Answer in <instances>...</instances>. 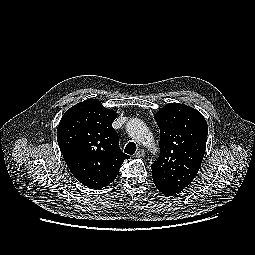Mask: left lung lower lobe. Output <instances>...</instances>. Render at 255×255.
<instances>
[{"mask_svg":"<svg viewBox=\"0 0 255 255\" xmlns=\"http://www.w3.org/2000/svg\"><path fill=\"white\" fill-rule=\"evenodd\" d=\"M153 181H154L155 186L158 188V190H159L160 192H162L163 194H165V195H174V194L177 193V192L174 191L173 189L168 188V187L162 185L161 183H159V182H157V181H155V180H153Z\"/></svg>","mask_w":255,"mask_h":255,"instance_id":"0a47b994","label":"left lung lower lobe"}]
</instances>
